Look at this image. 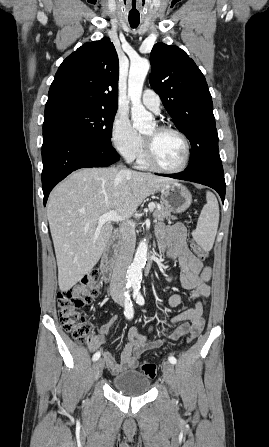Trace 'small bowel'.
Wrapping results in <instances>:
<instances>
[{
  "instance_id": "small-bowel-1",
  "label": "small bowel",
  "mask_w": 269,
  "mask_h": 447,
  "mask_svg": "<svg viewBox=\"0 0 269 447\" xmlns=\"http://www.w3.org/2000/svg\"><path fill=\"white\" fill-rule=\"evenodd\" d=\"M157 240L161 250H167L171 260H178L181 273L179 284L185 289L192 290L191 297L194 301L192 308L173 316L170 323H180L166 339L148 340L139 333L137 327L133 326L128 331L127 343L123 348L119 360L110 352L103 354L109 368L114 373L125 371L137 365V359L147 350L162 346L166 341H176L191 328L204 326L203 300L210 295L211 269L196 258L187 245V230L182 224L172 226L159 225L157 227ZM170 307H179L182 304V296L178 293L172 294L168 299ZM117 321L116 315H112L109 320L99 328L98 338L93 346L107 341ZM153 326L150 330H153Z\"/></svg>"
}]
</instances>
